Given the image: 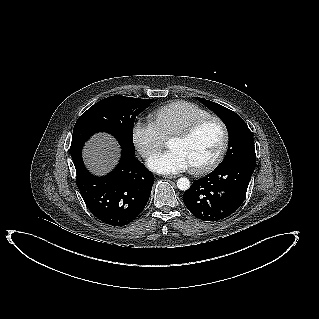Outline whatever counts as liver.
Listing matches in <instances>:
<instances>
[{
	"label": "liver",
	"mask_w": 319,
	"mask_h": 319,
	"mask_svg": "<svg viewBox=\"0 0 319 319\" xmlns=\"http://www.w3.org/2000/svg\"><path fill=\"white\" fill-rule=\"evenodd\" d=\"M120 150L118 142L112 136L98 133L84 146L85 165L93 174L104 175L117 164Z\"/></svg>",
	"instance_id": "obj_1"
}]
</instances>
